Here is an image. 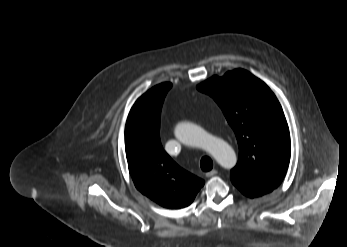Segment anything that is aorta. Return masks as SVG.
<instances>
[{
	"label": "aorta",
	"mask_w": 347,
	"mask_h": 247,
	"mask_svg": "<svg viewBox=\"0 0 347 247\" xmlns=\"http://www.w3.org/2000/svg\"><path fill=\"white\" fill-rule=\"evenodd\" d=\"M174 134L183 144L206 150L226 169L233 168L237 163L235 151L227 142L219 137L208 134L201 127L193 123H178L175 127Z\"/></svg>",
	"instance_id": "762f6f07"
}]
</instances>
